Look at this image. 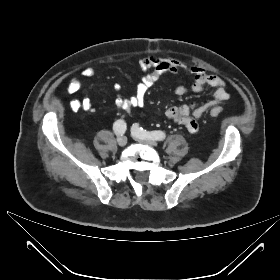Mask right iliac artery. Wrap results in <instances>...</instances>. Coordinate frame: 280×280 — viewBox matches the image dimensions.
I'll return each instance as SVG.
<instances>
[{
  "instance_id": "obj_1",
  "label": "right iliac artery",
  "mask_w": 280,
  "mask_h": 280,
  "mask_svg": "<svg viewBox=\"0 0 280 280\" xmlns=\"http://www.w3.org/2000/svg\"><path fill=\"white\" fill-rule=\"evenodd\" d=\"M113 130L116 135H123L126 131V123L124 120H117L113 124Z\"/></svg>"
}]
</instances>
